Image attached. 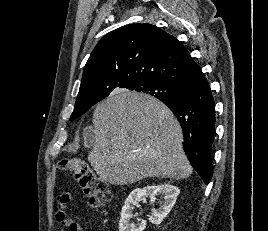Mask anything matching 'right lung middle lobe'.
Returning <instances> with one entry per match:
<instances>
[{"label": "right lung middle lobe", "mask_w": 268, "mask_h": 231, "mask_svg": "<svg viewBox=\"0 0 268 231\" xmlns=\"http://www.w3.org/2000/svg\"><path fill=\"white\" fill-rule=\"evenodd\" d=\"M129 90H135L137 92L146 93V94L152 95L160 100L171 99V98L177 97L179 94L178 88L166 85V84L161 83V82H156V81L141 83V84L134 86L133 88H131ZM94 104H96V103L75 104V108H74V111L70 117V120H73V119L80 117L81 115L86 113Z\"/></svg>", "instance_id": "right-lung-middle-lobe-1"}]
</instances>
